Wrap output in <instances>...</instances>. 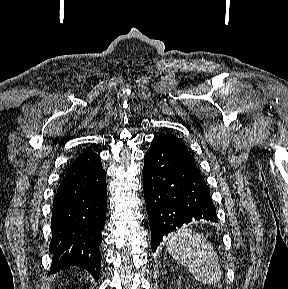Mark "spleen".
Returning <instances> with one entry per match:
<instances>
[{
  "label": "spleen",
  "instance_id": "1",
  "mask_svg": "<svg viewBox=\"0 0 288 289\" xmlns=\"http://www.w3.org/2000/svg\"><path fill=\"white\" fill-rule=\"evenodd\" d=\"M167 251L204 285L219 281L221 269L213 246L201 234L181 227L168 238Z\"/></svg>",
  "mask_w": 288,
  "mask_h": 289
}]
</instances>
